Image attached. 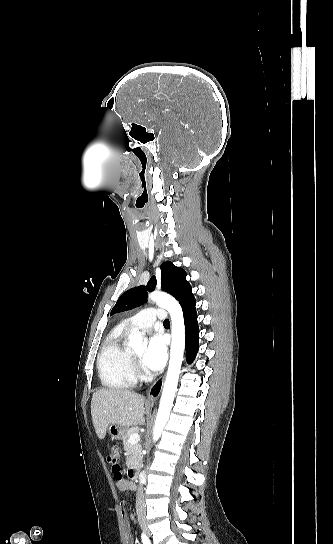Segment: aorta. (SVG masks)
Instances as JSON below:
<instances>
[{
  "label": "aorta",
  "instance_id": "aorta-1",
  "mask_svg": "<svg viewBox=\"0 0 333 544\" xmlns=\"http://www.w3.org/2000/svg\"><path fill=\"white\" fill-rule=\"evenodd\" d=\"M149 298L159 307L166 309L171 316L170 361L153 429V439L157 441L168 421L177 390L185 350V325L182 308L171 295L162 291H153L149 294ZM129 345L134 350H144L142 333L132 330L129 335Z\"/></svg>",
  "mask_w": 333,
  "mask_h": 544
}]
</instances>
